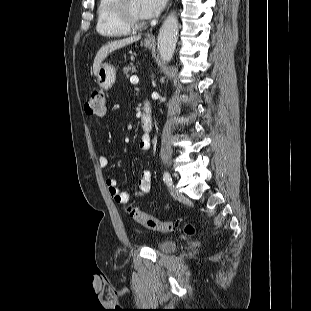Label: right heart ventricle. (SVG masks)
<instances>
[{"instance_id":"right-heart-ventricle-1","label":"right heart ventricle","mask_w":311,"mask_h":311,"mask_svg":"<svg viewBox=\"0 0 311 311\" xmlns=\"http://www.w3.org/2000/svg\"><path fill=\"white\" fill-rule=\"evenodd\" d=\"M96 30L107 37H122L130 33L119 20L115 0H99L96 8Z\"/></svg>"}]
</instances>
